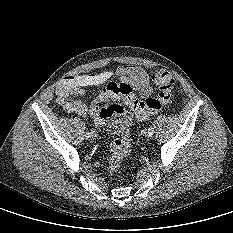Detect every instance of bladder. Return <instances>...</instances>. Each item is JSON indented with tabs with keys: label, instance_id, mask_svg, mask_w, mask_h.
Returning <instances> with one entry per match:
<instances>
[{
	"label": "bladder",
	"instance_id": "1",
	"mask_svg": "<svg viewBox=\"0 0 233 233\" xmlns=\"http://www.w3.org/2000/svg\"><path fill=\"white\" fill-rule=\"evenodd\" d=\"M132 125V119L125 113L116 112L109 120V131L112 135H122L129 130Z\"/></svg>",
	"mask_w": 233,
	"mask_h": 233
}]
</instances>
